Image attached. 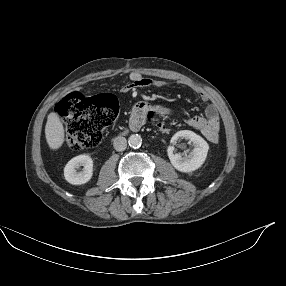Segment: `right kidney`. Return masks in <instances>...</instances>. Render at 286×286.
<instances>
[{"mask_svg":"<svg viewBox=\"0 0 286 286\" xmlns=\"http://www.w3.org/2000/svg\"><path fill=\"white\" fill-rule=\"evenodd\" d=\"M83 166V171L76 172V168ZM93 175V160L88 155H79L72 158L64 168V177L73 185L87 183Z\"/></svg>","mask_w":286,"mask_h":286,"instance_id":"1","label":"right kidney"}]
</instances>
